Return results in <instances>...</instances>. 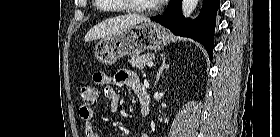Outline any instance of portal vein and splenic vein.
Returning a JSON list of instances; mask_svg holds the SVG:
<instances>
[{
  "label": "portal vein and splenic vein",
  "instance_id": "portal-vein-and-splenic-vein-1",
  "mask_svg": "<svg viewBox=\"0 0 280 137\" xmlns=\"http://www.w3.org/2000/svg\"><path fill=\"white\" fill-rule=\"evenodd\" d=\"M148 67H152L153 65H154V63L153 62H148Z\"/></svg>",
  "mask_w": 280,
  "mask_h": 137
}]
</instances>
